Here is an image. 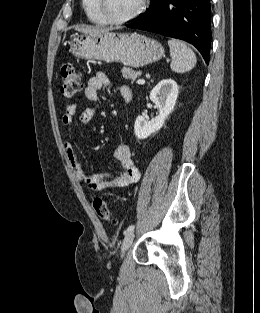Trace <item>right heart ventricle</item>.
I'll return each mask as SVG.
<instances>
[{"instance_id":"obj_1","label":"right heart ventricle","mask_w":260,"mask_h":313,"mask_svg":"<svg viewBox=\"0 0 260 313\" xmlns=\"http://www.w3.org/2000/svg\"><path fill=\"white\" fill-rule=\"evenodd\" d=\"M82 7L84 12L89 19V21L95 25H105L106 22L102 19L100 14L98 13L95 0H81Z\"/></svg>"}]
</instances>
